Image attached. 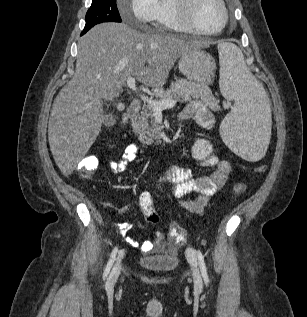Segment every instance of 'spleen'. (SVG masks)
<instances>
[{
    "label": "spleen",
    "instance_id": "obj_1",
    "mask_svg": "<svg viewBox=\"0 0 307 317\" xmlns=\"http://www.w3.org/2000/svg\"><path fill=\"white\" fill-rule=\"evenodd\" d=\"M220 91L235 101L234 109L222 121L223 141L241 160H260L268 155L270 123L273 107L264 86L247 69L240 49L229 40H220Z\"/></svg>",
    "mask_w": 307,
    "mask_h": 317
}]
</instances>
